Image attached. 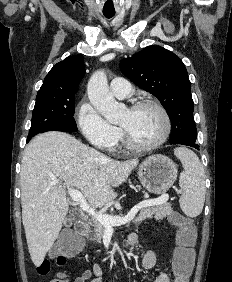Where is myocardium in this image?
<instances>
[{
	"label": "myocardium",
	"instance_id": "1",
	"mask_svg": "<svg viewBox=\"0 0 232 282\" xmlns=\"http://www.w3.org/2000/svg\"><path fill=\"white\" fill-rule=\"evenodd\" d=\"M142 107H153L157 111H159V113L163 117L164 131L161 137L157 141L150 143V144H139L131 138L130 134L124 127L120 126V132H121L123 141L128 148L135 150V151H150V150L159 148L168 140L171 130H172V121H171L170 115L167 112V110L160 103H158L155 100H151V99L139 100L133 103L129 107V110L133 111V110H137Z\"/></svg>",
	"mask_w": 232,
	"mask_h": 282
}]
</instances>
